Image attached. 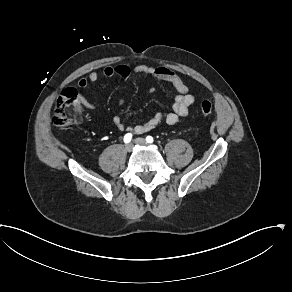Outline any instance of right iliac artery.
Returning a JSON list of instances; mask_svg holds the SVG:
<instances>
[{
	"instance_id": "obj_1",
	"label": "right iliac artery",
	"mask_w": 292,
	"mask_h": 292,
	"mask_svg": "<svg viewBox=\"0 0 292 292\" xmlns=\"http://www.w3.org/2000/svg\"><path fill=\"white\" fill-rule=\"evenodd\" d=\"M131 139H132V134L131 133L125 134V136H124V142L125 143H129L131 141Z\"/></svg>"
}]
</instances>
